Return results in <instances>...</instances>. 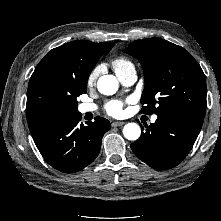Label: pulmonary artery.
<instances>
[{"label":"pulmonary artery","mask_w":221,"mask_h":221,"mask_svg":"<svg viewBox=\"0 0 221 221\" xmlns=\"http://www.w3.org/2000/svg\"><path fill=\"white\" fill-rule=\"evenodd\" d=\"M117 77L123 85L131 86L137 80L136 69L133 65H131L126 70H124L123 72L117 74ZM78 110H79L80 113L85 114V113H88V112L96 111L97 106L95 104L84 103V104L79 105ZM156 120H157V116L154 115L151 118V122L154 123Z\"/></svg>","instance_id":"pulmonary-artery-1"}]
</instances>
